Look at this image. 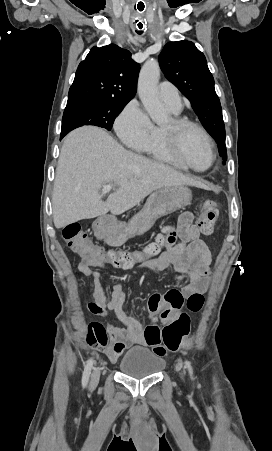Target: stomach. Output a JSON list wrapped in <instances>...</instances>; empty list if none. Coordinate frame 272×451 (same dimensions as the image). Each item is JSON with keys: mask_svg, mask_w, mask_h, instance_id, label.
Wrapping results in <instances>:
<instances>
[{"mask_svg": "<svg viewBox=\"0 0 272 451\" xmlns=\"http://www.w3.org/2000/svg\"><path fill=\"white\" fill-rule=\"evenodd\" d=\"M191 200L192 192L187 186H165L162 190H156L147 198L143 210L133 216L128 224L119 222L117 226L112 227L108 231L105 241L113 247L123 245L129 237L141 235L144 231H148L158 218L172 214L180 208H185Z\"/></svg>", "mask_w": 272, "mask_h": 451, "instance_id": "1", "label": "stomach"}]
</instances>
